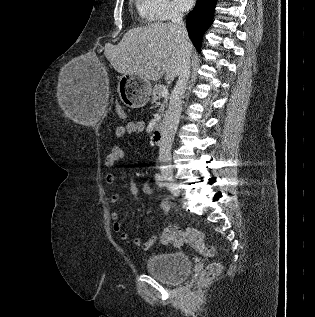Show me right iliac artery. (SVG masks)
<instances>
[{
    "mask_svg": "<svg viewBox=\"0 0 315 317\" xmlns=\"http://www.w3.org/2000/svg\"><path fill=\"white\" fill-rule=\"evenodd\" d=\"M155 180L158 186L163 187L165 185L162 176L158 173L155 175Z\"/></svg>",
    "mask_w": 315,
    "mask_h": 317,
    "instance_id": "1",
    "label": "right iliac artery"
}]
</instances>
